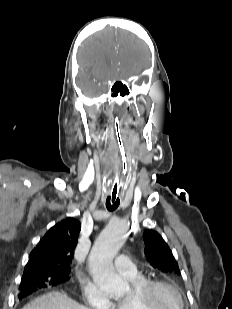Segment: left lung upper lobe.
<instances>
[{
  "mask_svg": "<svg viewBox=\"0 0 232 309\" xmlns=\"http://www.w3.org/2000/svg\"><path fill=\"white\" fill-rule=\"evenodd\" d=\"M145 255L150 264L163 272L181 275L177 261L162 236L153 230L144 232Z\"/></svg>",
  "mask_w": 232,
  "mask_h": 309,
  "instance_id": "left-lung-upper-lobe-1",
  "label": "left lung upper lobe"
}]
</instances>
